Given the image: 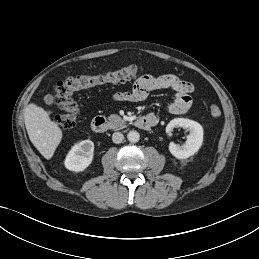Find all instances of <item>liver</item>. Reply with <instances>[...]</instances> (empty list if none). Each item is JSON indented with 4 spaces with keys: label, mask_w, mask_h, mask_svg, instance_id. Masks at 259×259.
<instances>
[{
    "label": "liver",
    "mask_w": 259,
    "mask_h": 259,
    "mask_svg": "<svg viewBox=\"0 0 259 259\" xmlns=\"http://www.w3.org/2000/svg\"><path fill=\"white\" fill-rule=\"evenodd\" d=\"M27 133L33 145L46 159H51L62 139V131L40 106L30 103L24 112Z\"/></svg>",
    "instance_id": "6515ba94"
}]
</instances>
